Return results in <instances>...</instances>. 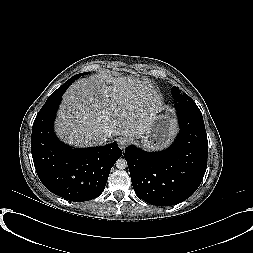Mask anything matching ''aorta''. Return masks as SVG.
Instances as JSON below:
<instances>
[{
	"label": "aorta",
	"instance_id": "aorta-1",
	"mask_svg": "<svg viewBox=\"0 0 253 253\" xmlns=\"http://www.w3.org/2000/svg\"><path fill=\"white\" fill-rule=\"evenodd\" d=\"M116 167L119 169V170H123L125 168H127L128 164H127V161L125 158H119L116 163H115Z\"/></svg>",
	"mask_w": 253,
	"mask_h": 253
}]
</instances>
